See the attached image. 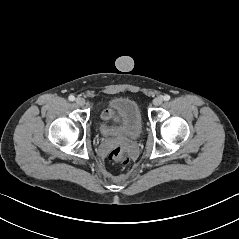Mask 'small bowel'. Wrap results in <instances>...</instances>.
<instances>
[{
  "mask_svg": "<svg viewBox=\"0 0 239 239\" xmlns=\"http://www.w3.org/2000/svg\"><path fill=\"white\" fill-rule=\"evenodd\" d=\"M103 118L105 120L113 119L114 118V113L111 110L108 109L103 113Z\"/></svg>",
  "mask_w": 239,
  "mask_h": 239,
  "instance_id": "1",
  "label": "small bowel"
}]
</instances>
